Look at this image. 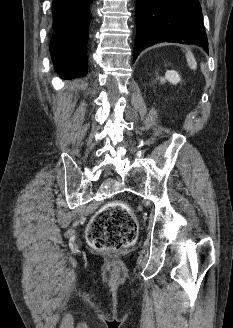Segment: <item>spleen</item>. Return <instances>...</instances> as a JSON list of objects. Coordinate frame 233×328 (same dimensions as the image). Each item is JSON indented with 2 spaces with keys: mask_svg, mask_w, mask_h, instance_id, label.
<instances>
[{
  "mask_svg": "<svg viewBox=\"0 0 233 328\" xmlns=\"http://www.w3.org/2000/svg\"><path fill=\"white\" fill-rule=\"evenodd\" d=\"M185 56H186V60H187L188 66L192 70H196L197 69V62H196V59H195L194 55L192 54V52L191 51H187Z\"/></svg>",
  "mask_w": 233,
  "mask_h": 328,
  "instance_id": "spleen-1",
  "label": "spleen"
}]
</instances>
